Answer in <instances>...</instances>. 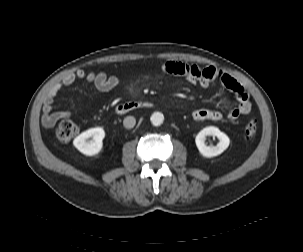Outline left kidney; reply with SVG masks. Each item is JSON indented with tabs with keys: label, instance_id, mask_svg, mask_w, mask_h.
Returning a JSON list of instances; mask_svg holds the SVG:
<instances>
[{
	"label": "left kidney",
	"instance_id": "obj_1",
	"mask_svg": "<svg viewBox=\"0 0 303 252\" xmlns=\"http://www.w3.org/2000/svg\"><path fill=\"white\" fill-rule=\"evenodd\" d=\"M216 136L219 139V143L216 146H207L205 144L206 136ZM196 146L199 152L205 157H214L221 154L226 150L230 144L229 137L221 132L215 126H208L203 128L195 138Z\"/></svg>",
	"mask_w": 303,
	"mask_h": 252
}]
</instances>
